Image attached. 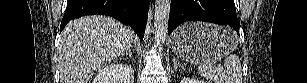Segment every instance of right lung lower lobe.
<instances>
[{
  "instance_id": "right-lung-lower-lobe-1",
  "label": "right lung lower lobe",
  "mask_w": 307,
  "mask_h": 83,
  "mask_svg": "<svg viewBox=\"0 0 307 83\" xmlns=\"http://www.w3.org/2000/svg\"><path fill=\"white\" fill-rule=\"evenodd\" d=\"M149 4L150 0H68L60 31L73 18L102 14L129 25L142 40Z\"/></svg>"
}]
</instances>
